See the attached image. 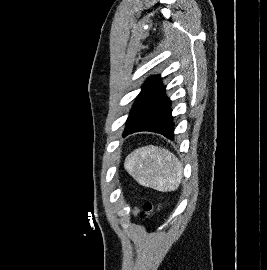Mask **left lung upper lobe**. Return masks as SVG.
Segmentation results:
<instances>
[{
	"mask_svg": "<svg viewBox=\"0 0 267 270\" xmlns=\"http://www.w3.org/2000/svg\"><path fill=\"white\" fill-rule=\"evenodd\" d=\"M161 80L162 79L159 76H152L146 80L142 86V91L137 96L136 101L130 111L124 133L136 123L143 113L164 92L165 86H163Z\"/></svg>",
	"mask_w": 267,
	"mask_h": 270,
	"instance_id": "obj_1",
	"label": "left lung upper lobe"
}]
</instances>
